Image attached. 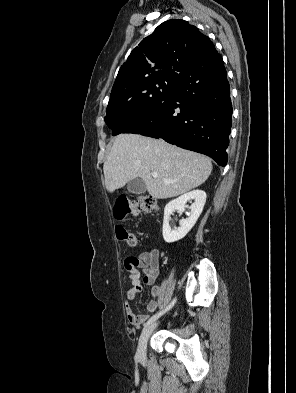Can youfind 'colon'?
<instances>
[{"label": "colon", "mask_w": 296, "mask_h": 393, "mask_svg": "<svg viewBox=\"0 0 296 393\" xmlns=\"http://www.w3.org/2000/svg\"><path fill=\"white\" fill-rule=\"evenodd\" d=\"M157 209V202L153 197L141 196L133 202H129L127 199H121L116 204L115 213L119 218H123L130 213L140 214L142 212L150 213ZM116 236L119 240L126 242L130 247H137L138 241L134 233L128 231L121 225L115 228Z\"/></svg>", "instance_id": "5ec220e1"}]
</instances>
